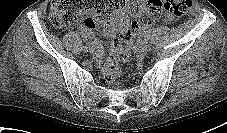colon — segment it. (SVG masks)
Returning a JSON list of instances; mask_svg holds the SVG:
<instances>
[{
    "instance_id": "5ec220e1",
    "label": "colon",
    "mask_w": 227,
    "mask_h": 133,
    "mask_svg": "<svg viewBox=\"0 0 227 133\" xmlns=\"http://www.w3.org/2000/svg\"><path fill=\"white\" fill-rule=\"evenodd\" d=\"M129 1L135 21L131 30L120 35L112 42V56L104 65V77L108 82H115L120 75L116 59L124 62L130 59L132 40L142 29L151 26L164 14L180 17L192 6L191 0H148L146 5L136 0H52L50 7L51 23L59 29L78 24L81 28H94L95 20L102 22L116 9ZM91 14L93 17L89 16Z\"/></svg>"
}]
</instances>
